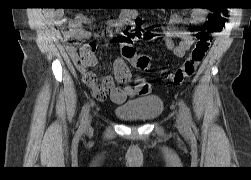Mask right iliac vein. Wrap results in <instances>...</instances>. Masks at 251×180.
<instances>
[{
    "mask_svg": "<svg viewBox=\"0 0 251 180\" xmlns=\"http://www.w3.org/2000/svg\"><path fill=\"white\" fill-rule=\"evenodd\" d=\"M90 122H91V117H88L86 119V122H85V125H84L85 129H89L90 128Z\"/></svg>",
    "mask_w": 251,
    "mask_h": 180,
    "instance_id": "63e3f726",
    "label": "right iliac vein"
}]
</instances>
